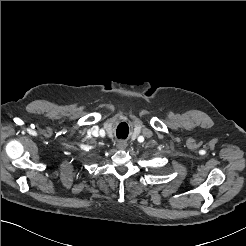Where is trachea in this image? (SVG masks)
<instances>
[{"label": "trachea", "mask_w": 246, "mask_h": 246, "mask_svg": "<svg viewBox=\"0 0 246 246\" xmlns=\"http://www.w3.org/2000/svg\"><path fill=\"white\" fill-rule=\"evenodd\" d=\"M118 138H125V136L118 134Z\"/></svg>", "instance_id": "obj_1"}]
</instances>
